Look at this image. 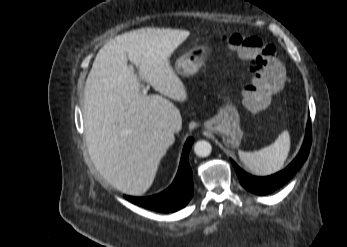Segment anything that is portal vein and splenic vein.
Instances as JSON below:
<instances>
[{
	"label": "portal vein and splenic vein",
	"instance_id": "1",
	"mask_svg": "<svg viewBox=\"0 0 347 247\" xmlns=\"http://www.w3.org/2000/svg\"><path fill=\"white\" fill-rule=\"evenodd\" d=\"M147 94V88H144L143 89V95H146Z\"/></svg>",
	"mask_w": 347,
	"mask_h": 247
}]
</instances>
